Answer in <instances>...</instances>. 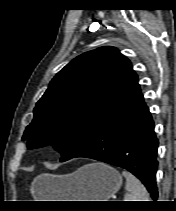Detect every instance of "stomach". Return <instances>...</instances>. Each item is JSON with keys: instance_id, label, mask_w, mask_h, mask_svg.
I'll return each instance as SVG.
<instances>
[{"instance_id": "1", "label": "stomach", "mask_w": 176, "mask_h": 211, "mask_svg": "<svg viewBox=\"0 0 176 211\" xmlns=\"http://www.w3.org/2000/svg\"><path fill=\"white\" fill-rule=\"evenodd\" d=\"M121 185L122 176L116 169L92 163L67 175L38 176L34 195L43 201H108Z\"/></svg>"}]
</instances>
